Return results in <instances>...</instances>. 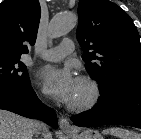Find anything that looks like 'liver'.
<instances>
[{
	"label": "liver",
	"mask_w": 141,
	"mask_h": 139,
	"mask_svg": "<svg viewBox=\"0 0 141 139\" xmlns=\"http://www.w3.org/2000/svg\"><path fill=\"white\" fill-rule=\"evenodd\" d=\"M38 127L39 122L35 120L0 110V139H33Z\"/></svg>",
	"instance_id": "6515ba94"
}]
</instances>
